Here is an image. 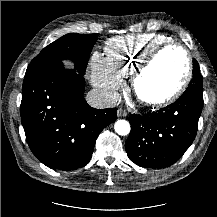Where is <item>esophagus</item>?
I'll use <instances>...</instances> for the list:
<instances>
[{"mask_svg": "<svg viewBox=\"0 0 217 217\" xmlns=\"http://www.w3.org/2000/svg\"><path fill=\"white\" fill-rule=\"evenodd\" d=\"M117 116H118V117H126V116H127V111L124 110V109H122V108H119V109L117 110Z\"/></svg>", "mask_w": 217, "mask_h": 217, "instance_id": "1", "label": "esophagus"}]
</instances>
